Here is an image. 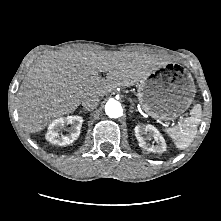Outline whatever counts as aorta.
I'll return each mask as SVG.
<instances>
[{
	"label": "aorta",
	"instance_id": "obj_1",
	"mask_svg": "<svg viewBox=\"0 0 221 221\" xmlns=\"http://www.w3.org/2000/svg\"><path fill=\"white\" fill-rule=\"evenodd\" d=\"M105 112L110 118H118L122 115L123 110L118 101L110 99L105 105Z\"/></svg>",
	"mask_w": 221,
	"mask_h": 221
}]
</instances>
